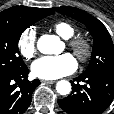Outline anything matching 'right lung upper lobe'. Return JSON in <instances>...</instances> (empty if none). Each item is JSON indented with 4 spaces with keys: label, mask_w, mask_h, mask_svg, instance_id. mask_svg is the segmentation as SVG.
<instances>
[{
    "label": "right lung upper lobe",
    "mask_w": 114,
    "mask_h": 114,
    "mask_svg": "<svg viewBox=\"0 0 114 114\" xmlns=\"http://www.w3.org/2000/svg\"><path fill=\"white\" fill-rule=\"evenodd\" d=\"M54 14L53 9L50 8H34L25 6H15L0 12V20H33L40 19Z\"/></svg>",
    "instance_id": "right-lung-upper-lobe-1"
}]
</instances>
